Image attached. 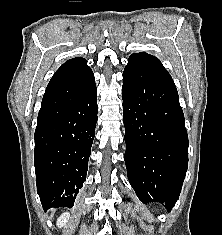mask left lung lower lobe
<instances>
[{
  "mask_svg": "<svg viewBox=\"0 0 222 235\" xmlns=\"http://www.w3.org/2000/svg\"><path fill=\"white\" fill-rule=\"evenodd\" d=\"M122 97L129 182L140 201L171 211L188 167V136L174 81L164 67L129 58Z\"/></svg>",
  "mask_w": 222,
  "mask_h": 235,
  "instance_id": "0a47b994",
  "label": "left lung lower lobe"
}]
</instances>
